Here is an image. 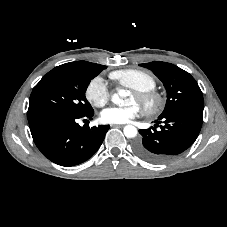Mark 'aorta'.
Here are the masks:
<instances>
[{
    "instance_id": "aorta-1",
    "label": "aorta",
    "mask_w": 227,
    "mask_h": 227,
    "mask_svg": "<svg viewBox=\"0 0 227 227\" xmlns=\"http://www.w3.org/2000/svg\"><path fill=\"white\" fill-rule=\"evenodd\" d=\"M126 95H127L126 91L120 89L118 90V93L112 95L111 101L114 104L121 105L123 104L122 98L126 97ZM123 132L127 138H134L137 135V128L133 125H127L124 127Z\"/></svg>"
}]
</instances>
